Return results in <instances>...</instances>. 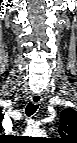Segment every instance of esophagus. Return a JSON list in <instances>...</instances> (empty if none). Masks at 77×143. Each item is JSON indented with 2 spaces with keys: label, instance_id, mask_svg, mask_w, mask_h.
I'll list each match as a JSON object with an SVG mask.
<instances>
[{
  "label": "esophagus",
  "instance_id": "obj_1",
  "mask_svg": "<svg viewBox=\"0 0 77 143\" xmlns=\"http://www.w3.org/2000/svg\"><path fill=\"white\" fill-rule=\"evenodd\" d=\"M30 100L33 104H39L41 102L42 98L38 94H33L30 96Z\"/></svg>",
  "mask_w": 77,
  "mask_h": 143
}]
</instances>
